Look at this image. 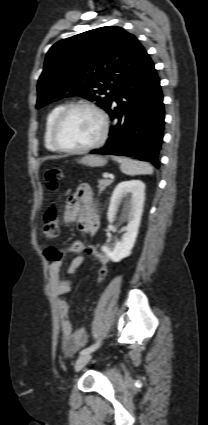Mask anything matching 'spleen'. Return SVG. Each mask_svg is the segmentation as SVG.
Masks as SVG:
<instances>
[{
  "label": "spleen",
  "mask_w": 208,
  "mask_h": 425,
  "mask_svg": "<svg viewBox=\"0 0 208 425\" xmlns=\"http://www.w3.org/2000/svg\"><path fill=\"white\" fill-rule=\"evenodd\" d=\"M120 162V169L127 175H152L153 167L147 163L137 160H132L127 157H115Z\"/></svg>",
  "instance_id": "1"
}]
</instances>
